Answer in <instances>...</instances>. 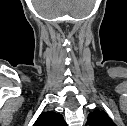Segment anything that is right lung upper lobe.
Here are the masks:
<instances>
[{
  "instance_id": "obj_1",
  "label": "right lung upper lobe",
  "mask_w": 127,
  "mask_h": 126,
  "mask_svg": "<svg viewBox=\"0 0 127 126\" xmlns=\"http://www.w3.org/2000/svg\"><path fill=\"white\" fill-rule=\"evenodd\" d=\"M33 126H66L63 116L59 113L42 112Z\"/></svg>"
}]
</instances>
